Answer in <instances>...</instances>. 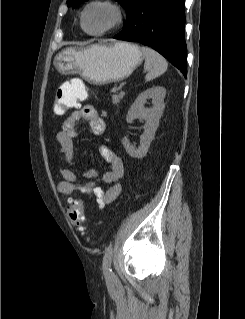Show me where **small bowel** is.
I'll use <instances>...</instances> for the list:
<instances>
[{
  "instance_id": "c3829d8e",
  "label": "small bowel",
  "mask_w": 245,
  "mask_h": 319,
  "mask_svg": "<svg viewBox=\"0 0 245 319\" xmlns=\"http://www.w3.org/2000/svg\"><path fill=\"white\" fill-rule=\"evenodd\" d=\"M83 85L80 78H72L65 81L60 88L65 91L75 92ZM87 121L93 134L102 135L106 129L103 117L92 105H84L70 113L61 123L60 131L56 135V141L60 145L65 161L70 166L75 164L74 139L78 136L77 126L80 121ZM101 156L109 164L110 170L97 178L95 171L86 174L87 181L78 182L77 175L71 167L64 168L61 172L63 180L58 184V192L65 198L76 194H83L88 198H94L98 207L103 208L113 202L121 192L119 179L124 174V167L120 157L108 146L100 147ZM101 184H109L104 191Z\"/></svg>"
}]
</instances>
